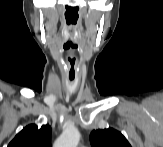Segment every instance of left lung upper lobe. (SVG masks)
I'll return each instance as SVG.
<instances>
[{
	"label": "left lung upper lobe",
	"instance_id": "obj_1",
	"mask_svg": "<svg viewBox=\"0 0 163 147\" xmlns=\"http://www.w3.org/2000/svg\"><path fill=\"white\" fill-rule=\"evenodd\" d=\"M90 141L93 147H131L127 139L112 128L93 130Z\"/></svg>",
	"mask_w": 163,
	"mask_h": 147
}]
</instances>
